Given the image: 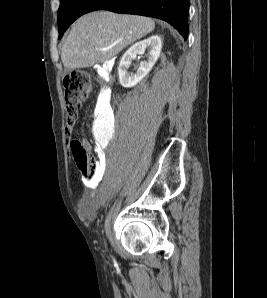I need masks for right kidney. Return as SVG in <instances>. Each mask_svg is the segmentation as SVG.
Returning a JSON list of instances; mask_svg holds the SVG:
<instances>
[{
	"label": "right kidney",
	"instance_id": "right-kidney-1",
	"mask_svg": "<svg viewBox=\"0 0 267 298\" xmlns=\"http://www.w3.org/2000/svg\"><path fill=\"white\" fill-rule=\"evenodd\" d=\"M146 48H150L148 60L142 61L137 73L130 75L127 70L131 65V61L136 58L137 54H143ZM161 48L162 40L158 35H152L151 37L132 45L122 56L119 64L118 74L120 84L125 88H130L139 83L154 66L160 56Z\"/></svg>",
	"mask_w": 267,
	"mask_h": 298
}]
</instances>
